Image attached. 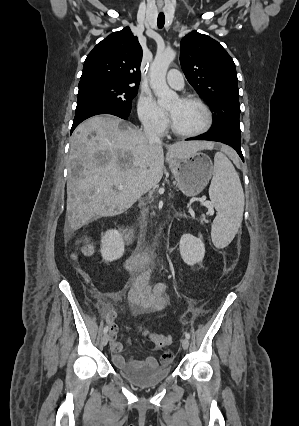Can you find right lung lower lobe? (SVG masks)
<instances>
[{
    "instance_id": "98d812e1",
    "label": "right lung lower lobe",
    "mask_w": 299,
    "mask_h": 426,
    "mask_svg": "<svg viewBox=\"0 0 299 426\" xmlns=\"http://www.w3.org/2000/svg\"><path fill=\"white\" fill-rule=\"evenodd\" d=\"M99 114H111L127 120L129 113L124 112L114 105L106 102L88 100L77 103L75 118L71 132L85 119Z\"/></svg>"
}]
</instances>
